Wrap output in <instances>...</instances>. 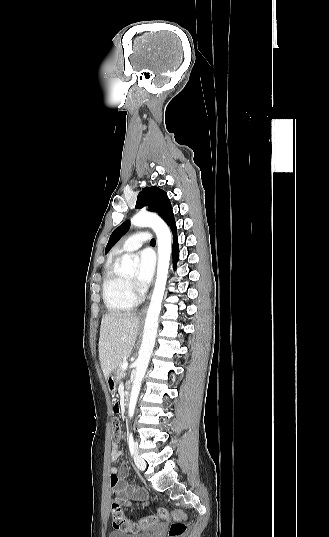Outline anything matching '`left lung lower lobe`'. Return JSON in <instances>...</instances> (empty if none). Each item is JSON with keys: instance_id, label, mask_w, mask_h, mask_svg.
<instances>
[{"instance_id": "1", "label": "left lung lower lobe", "mask_w": 329, "mask_h": 537, "mask_svg": "<svg viewBox=\"0 0 329 537\" xmlns=\"http://www.w3.org/2000/svg\"><path fill=\"white\" fill-rule=\"evenodd\" d=\"M171 230L173 232V266H176V263L179 259V249H178V238L176 235V226L173 225L171 227Z\"/></svg>"}]
</instances>
